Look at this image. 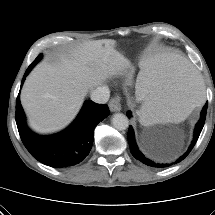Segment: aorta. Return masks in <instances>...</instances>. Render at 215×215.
Masks as SVG:
<instances>
[{
	"label": "aorta",
	"mask_w": 215,
	"mask_h": 215,
	"mask_svg": "<svg viewBox=\"0 0 215 215\" xmlns=\"http://www.w3.org/2000/svg\"><path fill=\"white\" fill-rule=\"evenodd\" d=\"M112 125L118 130H126L129 126V120L126 115L122 113H116L112 117Z\"/></svg>",
	"instance_id": "762f6f07"
}]
</instances>
